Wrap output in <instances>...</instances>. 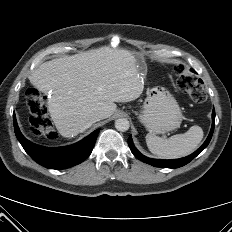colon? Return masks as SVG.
Masks as SVG:
<instances>
[{
	"mask_svg": "<svg viewBox=\"0 0 232 232\" xmlns=\"http://www.w3.org/2000/svg\"><path fill=\"white\" fill-rule=\"evenodd\" d=\"M178 89L188 95L192 101L203 103L207 100L204 85L199 78L192 75L184 65L173 67ZM25 99L30 111V131L35 136H43L47 139H56L57 134L50 124L47 115V102L44 96L36 88H29L25 93Z\"/></svg>",
	"mask_w": 232,
	"mask_h": 232,
	"instance_id": "colon-1",
	"label": "colon"
}]
</instances>
